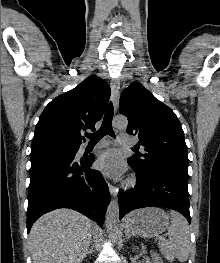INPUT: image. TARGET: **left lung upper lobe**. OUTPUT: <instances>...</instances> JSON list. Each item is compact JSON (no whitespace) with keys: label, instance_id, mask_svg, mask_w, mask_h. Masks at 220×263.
Wrapping results in <instances>:
<instances>
[{"label":"left lung upper lobe","instance_id":"left-lung-upper-lobe-1","mask_svg":"<svg viewBox=\"0 0 220 263\" xmlns=\"http://www.w3.org/2000/svg\"><path fill=\"white\" fill-rule=\"evenodd\" d=\"M120 113L128 118L127 133L140 139L144 154L129 158L136 169H164L188 179V154L181 124L171 108L134 82L121 95Z\"/></svg>","mask_w":220,"mask_h":263}]
</instances>
